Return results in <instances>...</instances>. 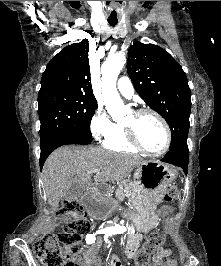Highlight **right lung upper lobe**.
<instances>
[{"label":"right lung upper lobe","instance_id":"1","mask_svg":"<svg viewBox=\"0 0 221 266\" xmlns=\"http://www.w3.org/2000/svg\"><path fill=\"white\" fill-rule=\"evenodd\" d=\"M88 40L65 47L48 63L40 91L60 89L95 99L91 86Z\"/></svg>","mask_w":221,"mask_h":266}]
</instances>
